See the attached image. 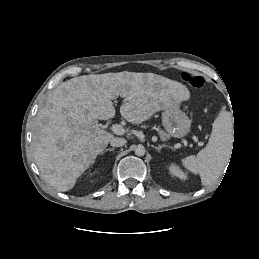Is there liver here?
I'll use <instances>...</instances> for the list:
<instances>
[{"label": "liver", "mask_w": 259, "mask_h": 259, "mask_svg": "<svg viewBox=\"0 0 259 259\" xmlns=\"http://www.w3.org/2000/svg\"><path fill=\"white\" fill-rule=\"evenodd\" d=\"M186 87L154 73L90 74L72 78L51 91L36 116L33 150L44 180L60 192L71 190L113 135L98 120L115 116L112 100L123 98L121 116L140 124L188 98Z\"/></svg>", "instance_id": "liver-1"}]
</instances>
